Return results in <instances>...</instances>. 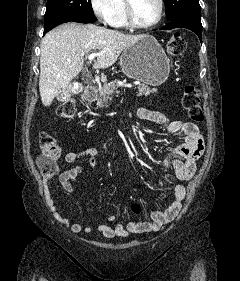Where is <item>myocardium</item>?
Instances as JSON below:
<instances>
[{
	"label": "myocardium",
	"instance_id": "myocardium-1",
	"mask_svg": "<svg viewBox=\"0 0 240 281\" xmlns=\"http://www.w3.org/2000/svg\"><path fill=\"white\" fill-rule=\"evenodd\" d=\"M126 5V15H127V22L128 25L135 29H149L155 27L160 23L164 15V0H157L158 2V13L156 18L147 24L138 23L135 19L134 15V5L133 0H124Z\"/></svg>",
	"mask_w": 240,
	"mask_h": 281
}]
</instances>
